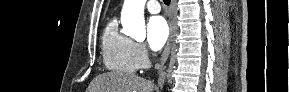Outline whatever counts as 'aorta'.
I'll return each instance as SVG.
<instances>
[{
  "mask_svg": "<svg viewBox=\"0 0 289 92\" xmlns=\"http://www.w3.org/2000/svg\"><path fill=\"white\" fill-rule=\"evenodd\" d=\"M145 3L146 0H125L121 12V23L124 33L137 40L144 39L146 36Z\"/></svg>",
  "mask_w": 289,
  "mask_h": 92,
  "instance_id": "1",
  "label": "aorta"
}]
</instances>
